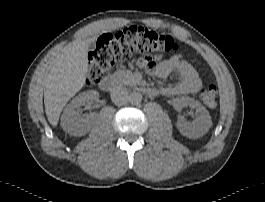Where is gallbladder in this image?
<instances>
[{
    "instance_id": "1",
    "label": "gallbladder",
    "mask_w": 265,
    "mask_h": 202,
    "mask_svg": "<svg viewBox=\"0 0 265 202\" xmlns=\"http://www.w3.org/2000/svg\"><path fill=\"white\" fill-rule=\"evenodd\" d=\"M95 49V44L94 42H91L89 45H88V50L89 51H93Z\"/></svg>"
}]
</instances>
